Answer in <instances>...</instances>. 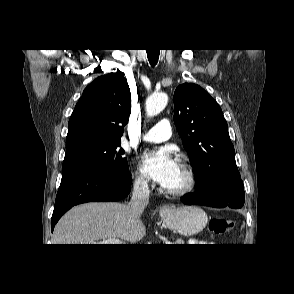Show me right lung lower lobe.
Segmentation results:
<instances>
[{
	"label": "right lung lower lobe",
	"mask_w": 294,
	"mask_h": 294,
	"mask_svg": "<svg viewBox=\"0 0 294 294\" xmlns=\"http://www.w3.org/2000/svg\"><path fill=\"white\" fill-rule=\"evenodd\" d=\"M131 175L96 170L74 172L61 180L51 220L53 231L60 217L75 205L91 201H117L128 196Z\"/></svg>",
	"instance_id": "98d812e1"
}]
</instances>
